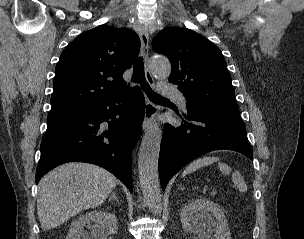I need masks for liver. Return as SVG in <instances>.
I'll use <instances>...</instances> for the list:
<instances>
[{
  "mask_svg": "<svg viewBox=\"0 0 304 239\" xmlns=\"http://www.w3.org/2000/svg\"><path fill=\"white\" fill-rule=\"evenodd\" d=\"M116 184L114 175L88 163H66L53 169L38 184L37 213L42 230L101 205Z\"/></svg>",
  "mask_w": 304,
  "mask_h": 239,
  "instance_id": "1",
  "label": "liver"
}]
</instances>
